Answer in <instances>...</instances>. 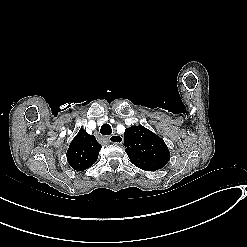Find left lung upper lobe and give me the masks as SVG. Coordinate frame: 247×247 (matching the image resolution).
Wrapping results in <instances>:
<instances>
[{
    "label": "left lung upper lobe",
    "instance_id": "1",
    "mask_svg": "<svg viewBox=\"0 0 247 247\" xmlns=\"http://www.w3.org/2000/svg\"><path fill=\"white\" fill-rule=\"evenodd\" d=\"M124 146L130 161L145 171L161 169L170 159L164 140L142 125L125 130Z\"/></svg>",
    "mask_w": 247,
    "mask_h": 247
}]
</instances>
